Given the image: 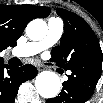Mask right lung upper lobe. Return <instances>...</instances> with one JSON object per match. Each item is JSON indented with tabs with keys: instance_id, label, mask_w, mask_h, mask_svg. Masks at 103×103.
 Segmentation results:
<instances>
[{
	"instance_id": "obj_1",
	"label": "right lung upper lobe",
	"mask_w": 103,
	"mask_h": 103,
	"mask_svg": "<svg viewBox=\"0 0 103 103\" xmlns=\"http://www.w3.org/2000/svg\"><path fill=\"white\" fill-rule=\"evenodd\" d=\"M50 8L35 5H2L0 4V52L5 48L17 45L23 30L34 18H45Z\"/></svg>"
}]
</instances>
